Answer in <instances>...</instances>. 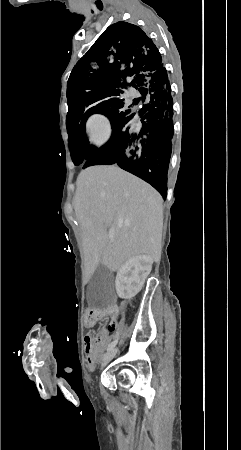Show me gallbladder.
<instances>
[{"label": "gallbladder", "instance_id": "bac80fb5", "mask_svg": "<svg viewBox=\"0 0 241 450\" xmlns=\"http://www.w3.org/2000/svg\"><path fill=\"white\" fill-rule=\"evenodd\" d=\"M115 276L103 264L95 270L88 287V310H108L115 305Z\"/></svg>", "mask_w": 241, "mask_h": 450}]
</instances>
